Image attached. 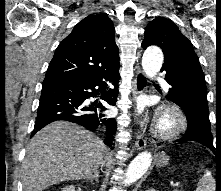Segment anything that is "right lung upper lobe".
I'll list each match as a JSON object with an SVG mask.
<instances>
[{"instance_id":"1","label":"right lung upper lobe","mask_w":221,"mask_h":191,"mask_svg":"<svg viewBox=\"0 0 221 191\" xmlns=\"http://www.w3.org/2000/svg\"><path fill=\"white\" fill-rule=\"evenodd\" d=\"M114 34L105 13L84 18L57 47L43 85L92 80L118 69Z\"/></svg>"}]
</instances>
